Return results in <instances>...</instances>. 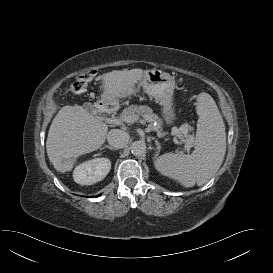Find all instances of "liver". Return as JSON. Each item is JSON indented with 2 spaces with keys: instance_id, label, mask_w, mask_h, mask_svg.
<instances>
[{
  "instance_id": "6515ba94",
  "label": "liver",
  "mask_w": 273,
  "mask_h": 273,
  "mask_svg": "<svg viewBox=\"0 0 273 273\" xmlns=\"http://www.w3.org/2000/svg\"><path fill=\"white\" fill-rule=\"evenodd\" d=\"M145 70L112 71L102 77V88L108 102L125 92L144 76ZM108 125L83 106H64L54 117L46 141L47 155L56 171H71L77 157L99 149L105 142Z\"/></svg>"
}]
</instances>
